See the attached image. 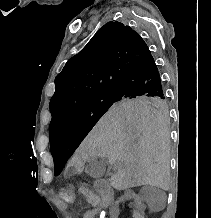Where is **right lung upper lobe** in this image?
I'll use <instances>...</instances> for the list:
<instances>
[{"label": "right lung upper lobe", "instance_id": "right-lung-upper-lobe-1", "mask_svg": "<svg viewBox=\"0 0 211 218\" xmlns=\"http://www.w3.org/2000/svg\"><path fill=\"white\" fill-rule=\"evenodd\" d=\"M150 54L144 40L129 26L106 23L55 78L50 124L79 104L115 91L124 77Z\"/></svg>", "mask_w": 211, "mask_h": 218}]
</instances>
